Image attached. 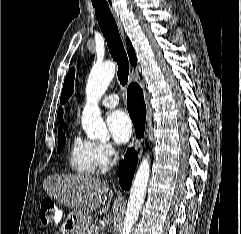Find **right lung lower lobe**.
I'll use <instances>...</instances> for the list:
<instances>
[{"label": "right lung lower lobe", "instance_id": "1", "mask_svg": "<svg viewBox=\"0 0 241 234\" xmlns=\"http://www.w3.org/2000/svg\"><path fill=\"white\" fill-rule=\"evenodd\" d=\"M127 109L134 123L137 136L142 137L146 121V105L143 101V91L136 83H132L128 87ZM136 160L137 154L134 148H129L124 156L123 162L120 163L117 175L119 176L121 187L125 190L130 188L136 167Z\"/></svg>", "mask_w": 241, "mask_h": 234}]
</instances>
